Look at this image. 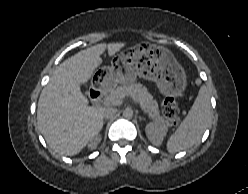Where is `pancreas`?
<instances>
[{
	"instance_id": "cf45deb5",
	"label": "pancreas",
	"mask_w": 248,
	"mask_h": 194,
	"mask_svg": "<svg viewBox=\"0 0 248 194\" xmlns=\"http://www.w3.org/2000/svg\"><path fill=\"white\" fill-rule=\"evenodd\" d=\"M125 96L134 97L135 101L139 103L142 110L148 114L151 119L170 125L169 120L160 116L158 104L153 99V96L148 92L147 88L140 83L125 84L116 89H112L110 93L106 95L105 100L110 105H119Z\"/></svg>"
}]
</instances>
